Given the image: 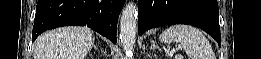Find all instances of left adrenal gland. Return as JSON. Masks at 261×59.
<instances>
[{"mask_svg": "<svg viewBox=\"0 0 261 59\" xmlns=\"http://www.w3.org/2000/svg\"><path fill=\"white\" fill-rule=\"evenodd\" d=\"M155 49L161 50V49L159 48V46L156 45V41L153 40V41H152V46L150 47V50H155Z\"/></svg>", "mask_w": 261, "mask_h": 59, "instance_id": "obj_1", "label": "left adrenal gland"}]
</instances>
